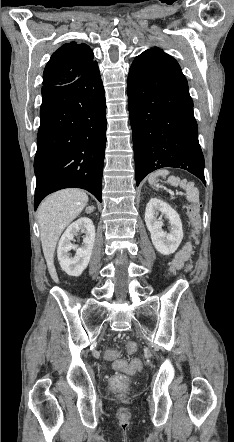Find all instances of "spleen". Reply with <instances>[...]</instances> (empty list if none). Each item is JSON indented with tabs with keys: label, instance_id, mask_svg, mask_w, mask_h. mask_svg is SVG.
I'll use <instances>...</instances> for the list:
<instances>
[{
	"label": "spleen",
	"instance_id": "obj_1",
	"mask_svg": "<svg viewBox=\"0 0 234 442\" xmlns=\"http://www.w3.org/2000/svg\"><path fill=\"white\" fill-rule=\"evenodd\" d=\"M170 172L167 169H160L153 173H151L148 177V182L152 186H156V180L159 176L166 177L169 175ZM168 183H170L172 186H180L181 188L185 189L187 192V201L196 203L199 202V190L194 187V184L191 182H187L186 179L180 180L179 177L170 176L168 178Z\"/></svg>",
	"mask_w": 234,
	"mask_h": 442
}]
</instances>
